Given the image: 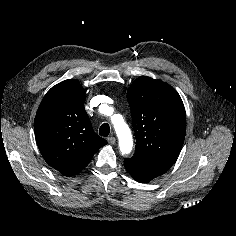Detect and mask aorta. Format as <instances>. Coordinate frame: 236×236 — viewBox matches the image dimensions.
Instances as JSON below:
<instances>
[{
  "instance_id": "obj_1",
  "label": "aorta",
  "mask_w": 236,
  "mask_h": 236,
  "mask_svg": "<svg viewBox=\"0 0 236 236\" xmlns=\"http://www.w3.org/2000/svg\"><path fill=\"white\" fill-rule=\"evenodd\" d=\"M112 123L118 136L121 153L129 154L133 148V139L128 125L123 120H120L118 116L113 117Z\"/></svg>"
}]
</instances>
